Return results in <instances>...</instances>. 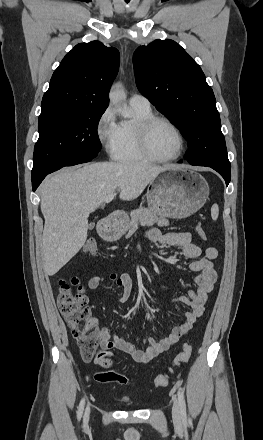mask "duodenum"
I'll use <instances>...</instances> for the list:
<instances>
[{"label":"duodenum","instance_id":"duodenum-1","mask_svg":"<svg viewBox=\"0 0 263 440\" xmlns=\"http://www.w3.org/2000/svg\"><path fill=\"white\" fill-rule=\"evenodd\" d=\"M110 225L109 221H105L102 223V225L100 226V233L103 237H105V230L106 228Z\"/></svg>","mask_w":263,"mask_h":440}]
</instances>
